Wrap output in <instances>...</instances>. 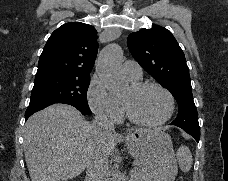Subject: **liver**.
I'll use <instances>...</instances> for the list:
<instances>
[{
  "mask_svg": "<svg viewBox=\"0 0 228 181\" xmlns=\"http://www.w3.org/2000/svg\"><path fill=\"white\" fill-rule=\"evenodd\" d=\"M91 123L70 105H51L26 121L24 155L31 181H69L87 167L91 151L99 147L111 155L117 135L99 139L91 135ZM137 133L164 129H133Z\"/></svg>",
  "mask_w": 228,
  "mask_h": 181,
  "instance_id": "6515ba94",
  "label": "liver"
}]
</instances>
